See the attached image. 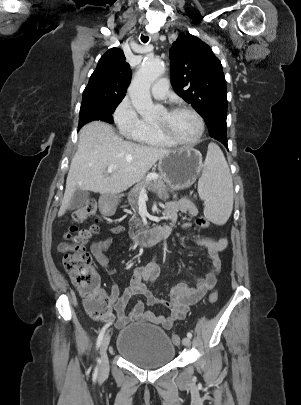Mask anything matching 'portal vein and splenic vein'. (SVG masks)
<instances>
[{"label": "portal vein and splenic vein", "instance_id": "1", "mask_svg": "<svg viewBox=\"0 0 301 405\" xmlns=\"http://www.w3.org/2000/svg\"><path fill=\"white\" fill-rule=\"evenodd\" d=\"M114 167H115L114 165H110V166L108 167L109 172H111ZM148 178H149V179H151V178H159V175L154 173V174L149 175ZM140 194H142V195H143V194H146V189H145V188H142Z\"/></svg>", "mask_w": 301, "mask_h": 405}]
</instances>
